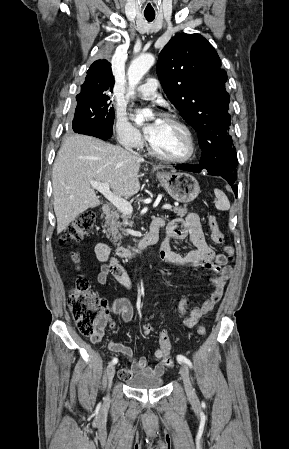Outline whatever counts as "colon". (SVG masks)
<instances>
[{
  "instance_id": "5ec220e1",
  "label": "colon",
  "mask_w": 289,
  "mask_h": 449,
  "mask_svg": "<svg viewBox=\"0 0 289 449\" xmlns=\"http://www.w3.org/2000/svg\"><path fill=\"white\" fill-rule=\"evenodd\" d=\"M94 223V214L86 211L77 216L65 231L63 241L72 240L80 241L90 231ZM208 227L211 231V240L216 245L224 243V235L219 228L217 219L214 215H209L207 220ZM224 251L229 260L233 259L234 250L231 246H225ZM77 256L73 255V260ZM68 306L72 317L77 325L79 332L88 337L94 336L100 327L101 316L104 309V301L97 296L90 288L88 280L84 277H78L75 286L69 293ZM142 332L145 336L151 335L153 328L151 325H144ZM197 333L201 336L206 334V328L199 326ZM163 355V359L168 366L172 365L170 358L171 342L168 333L162 330L159 334V348Z\"/></svg>"
}]
</instances>
